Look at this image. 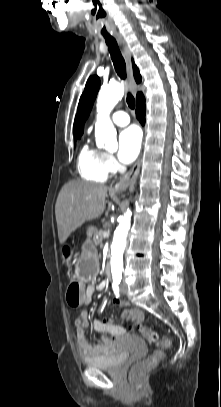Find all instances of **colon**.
<instances>
[{"instance_id":"5ec220e1","label":"colon","mask_w":221,"mask_h":407,"mask_svg":"<svg viewBox=\"0 0 221 407\" xmlns=\"http://www.w3.org/2000/svg\"><path fill=\"white\" fill-rule=\"evenodd\" d=\"M65 297L66 305L69 306L71 311L81 310L85 294L84 291H81V284L78 281H73L70 284ZM121 310L124 312L125 317H129L130 320L133 321L132 326L134 328L139 326L140 332L149 342L157 343L161 348H167L170 345L168 339L159 340L157 333L152 331L146 325H142L146 318L145 314L140 313L139 311L135 312V307L133 305L125 306ZM163 357L164 351L158 349L146 359L134 364L130 372L132 381H139L150 369L156 366Z\"/></svg>"}]
</instances>
